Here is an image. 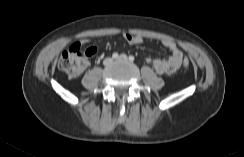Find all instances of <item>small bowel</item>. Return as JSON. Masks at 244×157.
Returning <instances> with one entry per match:
<instances>
[{
  "label": "small bowel",
  "mask_w": 244,
  "mask_h": 157,
  "mask_svg": "<svg viewBox=\"0 0 244 157\" xmlns=\"http://www.w3.org/2000/svg\"><path fill=\"white\" fill-rule=\"evenodd\" d=\"M124 39L130 45H138L143 42V38L141 36L133 35L130 33H126L124 35ZM83 42H86V40H84ZM161 44L171 52V56L164 59L147 58L146 60L152 65V67L158 74L170 76L181 67L183 53L172 39H162Z\"/></svg>",
  "instance_id": "c3829d8e"
}]
</instances>
